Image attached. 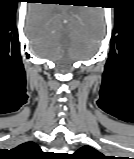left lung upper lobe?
I'll return each instance as SVG.
<instances>
[{
  "label": "left lung upper lobe",
  "instance_id": "1",
  "mask_svg": "<svg viewBox=\"0 0 134 159\" xmlns=\"http://www.w3.org/2000/svg\"><path fill=\"white\" fill-rule=\"evenodd\" d=\"M71 159H107V157L90 146H83L71 155Z\"/></svg>",
  "mask_w": 134,
  "mask_h": 159
}]
</instances>
